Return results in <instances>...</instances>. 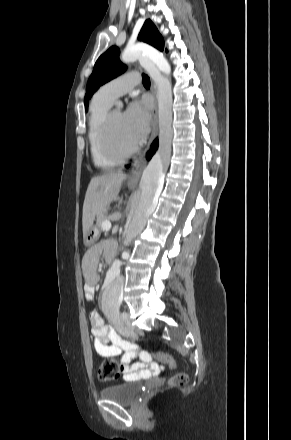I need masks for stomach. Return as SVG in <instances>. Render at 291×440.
Returning <instances> with one entry per match:
<instances>
[{
  "instance_id": "stomach-1",
  "label": "stomach",
  "mask_w": 291,
  "mask_h": 440,
  "mask_svg": "<svg viewBox=\"0 0 291 440\" xmlns=\"http://www.w3.org/2000/svg\"><path fill=\"white\" fill-rule=\"evenodd\" d=\"M98 237V230L96 227H91L88 233L84 237V243L86 246L92 245Z\"/></svg>"
}]
</instances>
